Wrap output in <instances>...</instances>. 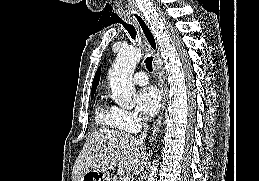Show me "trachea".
<instances>
[{"label": "trachea", "mask_w": 259, "mask_h": 181, "mask_svg": "<svg viewBox=\"0 0 259 181\" xmlns=\"http://www.w3.org/2000/svg\"><path fill=\"white\" fill-rule=\"evenodd\" d=\"M124 28L128 31V33L130 34V36L132 37V39H136L137 36V32L136 29L133 25L128 24V23H122ZM152 62H153V57L149 56L145 59V64L146 67L149 71L153 70V66H152Z\"/></svg>", "instance_id": "3493384b"}]
</instances>
